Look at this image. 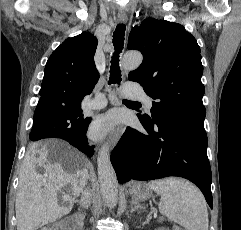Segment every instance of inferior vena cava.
<instances>
[{"label":"inferior vena cava","instance_id":"1","mask_svg":"<svg viewBox=\"0 0 241 230\" xmlns=\"http://www.w3.org/2000/svg\"><path fill=\"white\" fill-rule=\"evenodd\" d=\"M91 203V194L89 192L88 189H85L82 192L81 195V200H80V204L84 207V208H88L90 206Z\"/></svg>","mask_w":241,"mask_h":230}]
</instances>
